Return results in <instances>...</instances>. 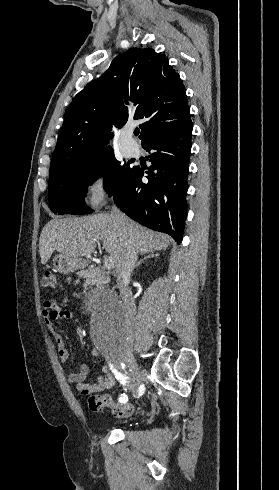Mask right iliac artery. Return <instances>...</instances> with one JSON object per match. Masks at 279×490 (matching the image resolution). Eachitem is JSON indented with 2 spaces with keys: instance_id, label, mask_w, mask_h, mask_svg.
I'll return each mask as SVG.
<instances>
[{
  "instance_id": "1",
  "label": "right iliac artery",
  "mask_w": 279,
  "mask_h": 490,
  "mask_svg": "<svg viewBox=\"0 0 279 490\" xmlns=\"http://www.w3.org/2000/svg\"><path fill=\"white\" fill-rule=\"evenodd\" d=\"M108 358H109L108 363L110 364V367L112 369V372L115 374V377L120 381L121 384L125 385V383L127 382L128 376L126 374H121L120 372H118L116 369L113 368V366H115L118 363V358H119L118 353L117 352H110L108 355ZM120 365H121L122 369L125 368V364L123 362H120ZM120 396H121L119 398L120 402L125 403L128 401V397L125 395L124 392H121Z\"/></svg>"
}]
</instances>
